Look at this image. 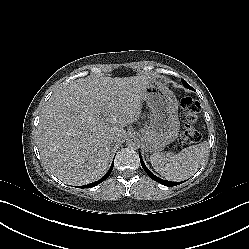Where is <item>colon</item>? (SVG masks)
<instances>
[{"label": "colon", "mask_w": 249, "mask_h": 249, "mask_svg": "<svg viewBox=\"0 0 249 249\" xmlns=\"http://www.w3.org/2000/svg\"><path fill=\"white\" fill-rule=\"evenodd\" d=\"M180 107L184 119L182 138L186 142H196L199 140V133L194 126L198 121L200 105L193 97L184 95L180 100Z\"/></svg>", "instance_id": "5ec220e1"}]
</instances>
